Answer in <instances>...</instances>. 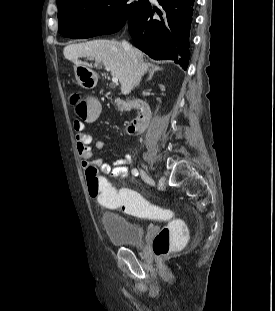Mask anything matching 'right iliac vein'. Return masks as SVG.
Returning a JSON list of instances; mask_svg holds the SVG:
<instances>
[{"instance_id": "right-iliac-vein-1", "label": "right iliac vein", "mask_w": 275, "mask_h": 311, "mask_svg": "<svg viewBox=\"0 0 275 311\" xmlns=\"http://www.w3.org/2000/svg\"><path fill=\"white\" fill-rule=\"evenodd\" d=\"M140 176L143 179L144 182H146L149 185H155V182L153 180V178L143 169L140 170Z\"/></svg>"}]
</instances>
